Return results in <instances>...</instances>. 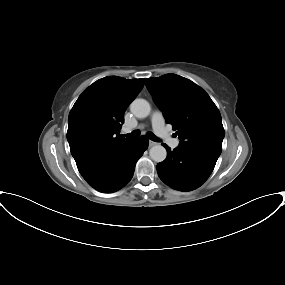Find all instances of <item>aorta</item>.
<instances>
[{
	"mask_svg": "<svg viewBox=\"0 0 285 285\" xmlns=\"http://www.w3.org/2000/svg\"><path fill=\"white\" fill-rule=\"evenodd\" d=\"M130 110L137 118H145L150 114L151 107L145 99H135L131 105ZM151 159L155 162H162L167 157V151L162 145H155L149 151Z\"/></svg>",
	"mask_w": 285,
	"mask_h": 285,
	"instance_id": "obj_1",
	"label": "aorta"
}]
</instances>
